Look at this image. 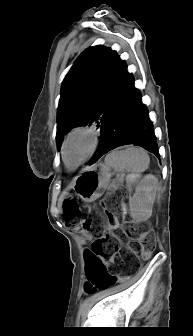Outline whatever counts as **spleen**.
<instances>
[{"instance_id": "1", "label": "spleen", "mask_w": 193, "mask_h": 336, "mask_svg": "<svg viewBox=\"0 0 193 336\" xmlns=\"http://www.w3.org/2000/svg\"><path fill=\"white\" fill-rule=\"evenodd\" d=\"M150 158L147 152L138 147L129 146L124 150H114L105 157V163L113 167L116 171H131L126 176L128 187H131L140 174L149 166Z\"/></svg>"}]
</instances>
